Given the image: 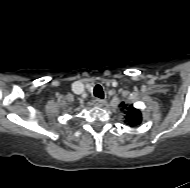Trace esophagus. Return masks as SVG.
I'll use <instances>...</instances> for the list:
<instances>
[{
	"label": "esophagus",
	"instance_id": "esophagus-1",
	"mask_svg": "<svg viewBox=\"0 0 190 188\" xmlns=\"http://www.w3.org/2000/svg\"><path fill=\"white\" fill-rule=\"evenodd\" d=\"M105 104V101L99 98L93 100V105L97 107H102Z\"/></svg>",
	"mask_w": 190,
	"mask_h": 188
}]
</instances>
